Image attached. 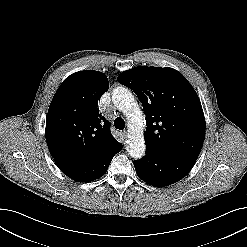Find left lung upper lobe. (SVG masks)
I'll use <instances>...</instances> for the list:
<instances>
[{"label":"left lung upper lobe","instance_id":"left-lung-upper-lobe-1","mask_svg":"<svg viewBox=\"0 0 247 247\" xmlns=\"http://www.w3.org/2000/svg\"><path fill=\"white\" fill-rule=\"evenodd\" d=\"M146 115V149L196 160L205 138L200 100L188 80L172 68L139 66L121 73Z\"/></svg>","mask_w":247,"mask_h":247}]
</instances>
